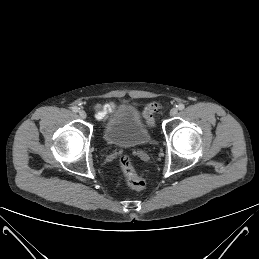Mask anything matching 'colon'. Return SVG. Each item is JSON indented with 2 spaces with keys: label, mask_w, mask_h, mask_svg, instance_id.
<instances>
[{
  "label": "colon",
  "mask_w": 259,
  "mask_h": 259,
  "mask_svg": "<svg viewBox=\"0 0 259 259\" xmlns=\"http://www.w3.org/2000/svg\"><path fill=\"white\" fill-rule=\"evenodd\" d=\"M161 108L162 105L159 102H151L145 107L143 116L147 126L154 125V117ZM119 165L129 187L135 190H142L145 187V180L136 172L133 162L127 154L119 157Z\"/></svg>",
  "instance_id": "colon-1"
}]
</instances>
